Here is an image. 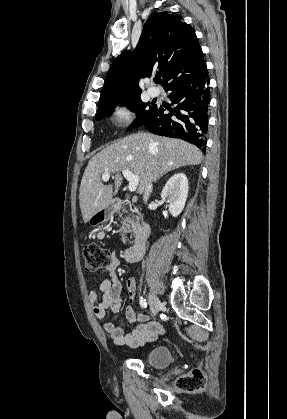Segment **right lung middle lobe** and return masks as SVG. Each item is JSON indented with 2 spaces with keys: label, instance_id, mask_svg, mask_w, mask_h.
Returning <instances> with one entry per match:
<instances>
[{
  "label": "right lung middle lobe",
  "instance_id": "obj_1",
  "mask_svg": "<svg viewBox=\"0 0 287 419\" xmlns=\"http://www.w3.org/2000/svg\"><path fill=\"white\" fill-rule=\"evenodd\" d=\"M119 104H122L123 106L126 105L127 108L135 112L137 115L136 120L129 127V130L141 126L156 108V105L150 106L149 103L142 102L140 97H135L99 108L97 111L96 119H102L105 115L110 114L111 111Z\"/></svg>",
  "mask_w": 287,
  "mask_h": 419
}]
</instances>
